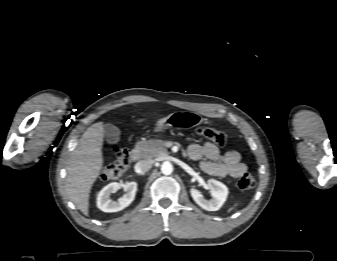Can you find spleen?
<instances>
[{
  "instance_id": "obj_1",
  "label": "spleen",
  "mask_w": 337,
  "mask_h": 261,
  "mask_svg": "<svg viewBox=\"0 0 337 261\" xmlns=\"http://www.w3.org/2000/svg\"><path fill=\"white\" fill-rule=\"evenodd\" d=\"M235 206H236V204H235ZM233 208H234V207L230 208L229 211H231Z\"/></svg>"
}]
</instances>
